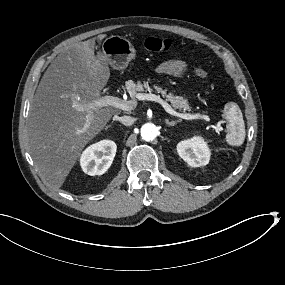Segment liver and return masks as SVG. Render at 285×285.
Instances as JSON below:
<instances>
[{
  "label": "liver",
  "instance_id": "obj_1",
  "mask_svg": "<svg viewBox=\"0 0 285 285\" xmlns=\"http://www.w3.org/2000/svg\"><path fill=\"white\" fill-rule=\"evenodd\" d=\"M105 36H99L103 39ZM95 39L78 42L60 53L45 71L28 117V149L35 166L60 188L84 147L120 110H93L86 132L80 133L87 112L81 105L100 98L110 77L105 57L94 54Z\"/></svg>",
  "mask_w": 285,
  "mask_h": 285
}]
</instances>
